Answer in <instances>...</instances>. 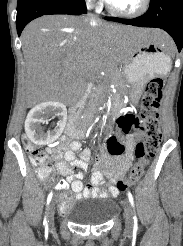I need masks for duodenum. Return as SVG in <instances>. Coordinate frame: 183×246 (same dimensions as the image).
<instances>
[{
	"instance_id": "obj_1",
	"label": "duodenum",
	"mask_w": 183,
	"mask_h": 246,
	"mask_svg": "<svg viewBox=\"0 0 183 246\" xmlns=\"http://www.w3.org/2000/svg\"><path fill=\"white\" fill-rule=\"evenodd\" d=\"M76 109H81V104H74V108L71 111V117L67 123L66 130H65L66 134L71 136V137H75L78 135L76 118L74 115ZM78 136H80V135H78Z\"/></svg>"
}]
</instances>
